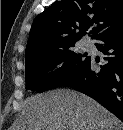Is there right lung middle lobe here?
I'll return each mask as SVG.
<instances>
[{"instance_id": "dd1d6c3e", "label": "right lung middle lobe", "mask_w": 123, "mask_h": 130, "mask_svg": "<svg viewBox=\"0 0 123 130\" xmlns=\"http://www.w3.org/2000/svg\"><path fill=\"white\" fill-rule=\"evenodd\" d=\"M73 47L25 59L26 90L41 93L61 86L73 76L88 60L86 54L76 55ZM59 64H62L57 69L59 74L50 72Z\"/></svg>"}]
</instances>
